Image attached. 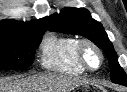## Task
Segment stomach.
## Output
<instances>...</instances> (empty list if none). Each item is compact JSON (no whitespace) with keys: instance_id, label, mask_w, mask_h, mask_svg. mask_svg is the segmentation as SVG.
<instances>
[{"instance_id":"obj_1","label":"stomach","mask_w":127,"mask_h":92,"mask_svg":"<svg viewBox=\"0 0 127 92\" xmlns=\"http://www.w3.org/2000/svg\"><path fill=\"white\" fill-rule=\"evenodd\" d=\"M79 89H84V87H81V86H78V88H77V90H79ZM86 89V88H85Z\"/></svg>"}]
</instances>
